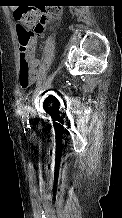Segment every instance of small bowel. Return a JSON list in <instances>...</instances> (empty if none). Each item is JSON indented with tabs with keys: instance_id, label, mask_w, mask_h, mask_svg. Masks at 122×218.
<instances>
[{
	"instance_id": "small-bowel-1",
	"label": "small bowel",
	"mask_w": 122,
	"mask_h": 218,
	"mask_svg": "<svg viewBox=\"0 0 122 218\" xmlns=\"http://www.w3.org/2000/svg\"><path fill=\"white\" fill-rule=\"evenodd\" d=\"M38 60H32V65H33V68H34V71H35V77H34V80H36L38 78Z\"/></svg>"
}]
</instances>
